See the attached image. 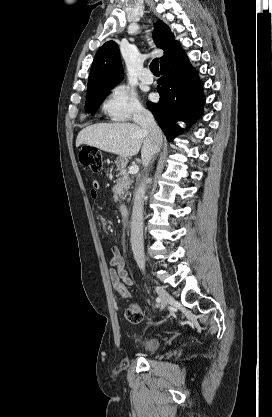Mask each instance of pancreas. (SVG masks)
I'll return each mask as SVG.
<instances>
[{
  "label": "pancreas",
  "instance_id": "obj_1",
  "mask_svg": "<svg viewBox=\"0 0 272 417\" xmlns=\"http://www.w3.org/2000/svg\"><path fill=\"white\" fill-rule=\"evenodd\" d=\"M133 180L129 176L126 169H121L116 184L112 188L114 194V201L122 202L125 199V194L129 190Z\"/></svg>",
  "mask_w": 272,
  "mask_h": 417
}]
</instances>
